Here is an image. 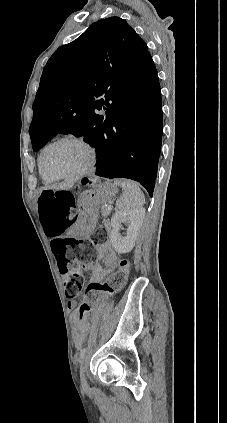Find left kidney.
Listing matches in <instances>:
<instances>
[{
    "label": "left kidney",
    "mask_w": 227,
    "mask_h": 423,
    "mask_svg": "<svg viewBox=\"0 0 227 423\" xmlns=\"http://www.w3.org/2000/svg\"><path fill=\"white\" fill-rule=\"evenodd\" d=\"M144 217V208H139V210H121L113 213L111 217L110 243L115 251L127 253V251L133 249ZM124 221L128 223L126 235H121L120 229H123L122 223Z\"/></svg>",
    "instance_id": "1"
}]
</instances>
